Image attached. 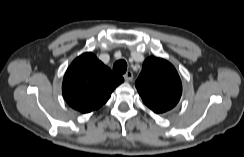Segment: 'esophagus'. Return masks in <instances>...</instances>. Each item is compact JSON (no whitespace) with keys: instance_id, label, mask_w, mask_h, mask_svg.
I'll use <instances>...</instances> for the list:
<instances>
[{"instance_id":"34e87169","label":"esophagus","mask_w":244,"mask_h":157,"mask_svg":"<svg viewBox=\"0 0 244 157\" xmlns=\"http://www.w3.org/2000/svg\"><path fill=\"white\" fill-rule=\"evenodd\" d=\"M125 81L129 82L133 79V73L132 71H127L124 75H123Z\"/></svg>"}]
</instances>
